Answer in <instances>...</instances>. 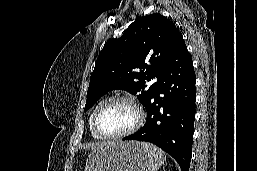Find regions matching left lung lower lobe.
I'll use <instances>...</instances> for the list:
<instances>
[{"mask_svg": "<svg viewBox=\"0 0 257 171\" xmlns=\"http://www.w3.org/2000/svg\"><path fill=\"white\" fill-rule=\"evenodd\" d=\"M195 73L186 45L168 59L146 105L145 125L123 140L151 142L189 171L195 117Z\"/></svg>", "mask_w": 257, "mask_h": 171, "instance_id": "1", "label": "left lung lower lobe"}]
</instances>
